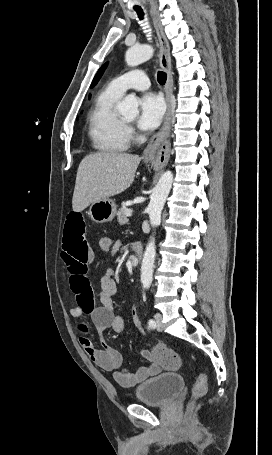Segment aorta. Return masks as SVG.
<instances>
[{
    "label": "aorta",
    "instance_id": "1",
    "mask_svg": "<svg viewBox=\"0 0 272 455\" xmlns=\"http://www.w3.org/2000/svg\"><path fill=\"white\" fill-rule=\"evenodd\" d=\"M154 53L150 45H140L130 47L125 54V61L128 66L134 67L149 60ZM119 112L126 117L135 118L138 116V101L134 95L126 96L118 105ZM173 183V173L166 171L162 174L155 186L150 203L147 207L149 219L152 227L161 222V213L169 195ZM155 239L151 238L144 252L141 265V282L144 288L148 289L152 283L153 267L155 262Z\"/></svg>",
    "mask_w": 272,
    "mask_h": 455
}]
</instances>
